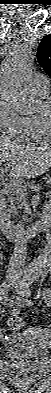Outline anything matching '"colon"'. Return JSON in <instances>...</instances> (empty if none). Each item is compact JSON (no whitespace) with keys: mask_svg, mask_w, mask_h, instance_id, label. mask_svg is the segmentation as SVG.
<instances>
[{"mask_svg":"<svg viewBox=\"0 0 51 393\" xmlns=\"http://www.w3.org/2000/svg\"><path fill=\"white\" fill-rule=\"evenodd\" d=\"M8 325H9V327L11 328V329H13V330H20V329H22L23 328V326H24V320L20 317V316H18L17 314H13V315H11L10 317H9V319H8ZM38 330H40V329H38ZM31 333H35V334H40V333H42V331L40 330L39 332H37V331H30Z\"/></svg>","mask_w":51,"mask_h":393,"instance_id":"1","label":"colon"}]
</instances>
